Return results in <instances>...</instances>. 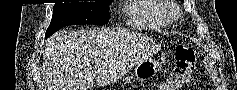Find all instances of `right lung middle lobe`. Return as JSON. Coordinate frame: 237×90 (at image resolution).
Instances as JSON below:
<instances>
[{"instance_id": "obj_1", "label": "right lung middle lobe", "mask_w": 237, "mask_h": 90, "mask_svg": "<svg viewBox=\"0 0 237 90\" xmlns=\"http://www.w3.org/2000/svg\"><path fill=\"white\" fill-rule=\"evenodd\" d=\"M112 0L78 3H56L50 26L45 33L48 38L54 32L68 25H104L108 22L107 13Z\"/></svg>"}]
</instances>
